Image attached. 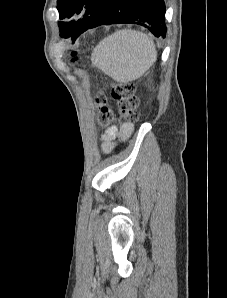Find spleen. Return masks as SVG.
Here are the masks:
<instances>
[{
  "label": "spleen",
  "instance_id": "3e777b00",
  "mask_svg": "<svg viewBox=\"0 0 227 298\" xmlns=\"http://www.w3.org/2000/svg\"><path fill=\"white\" fill-rule=\"evenodd\" d=\"M156 59L154 42L148 35L131 29L119 30L104 38L91 57L98 69L118 82L138 79Z\"/></svg>",
  "mask_w": 227,
  "mask_h": 298
}]
</instances>
